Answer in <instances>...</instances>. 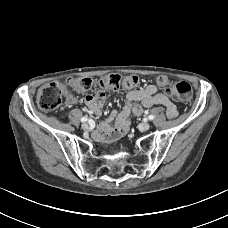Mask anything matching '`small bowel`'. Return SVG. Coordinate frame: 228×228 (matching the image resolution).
<instances>
[{
  "label": "small bowel",
  "mask_w": 228,
  "mask_h": 228,
  "mask_svg": "<svg viewBox=\"0 0 228 228\" xmlns=\"http://www.w3.org/2000/svg\"><path fill=\"white\" fill-rule=\"evenodd\" d=\"M105 99V94L99 90L95 95L85 96L84 103L93 115L100 117ZM154 105L164 106L169 118L178 115L176 106L166 95L159 91L157 86L147 85L140 89L130 90L126 94L124 108L120 112L112 111L100 123L96 137L105 142L117 140L128 130L131 115L140 116L143 113V108H150Z\"/></svg>",
  "instance_id": "c3829d8e"
}]
</instances>
